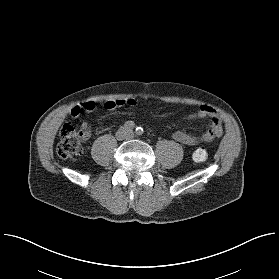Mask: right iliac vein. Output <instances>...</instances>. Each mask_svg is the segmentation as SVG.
<instances>
[{
  "mask_svg": "<svg viewBox=\"0 0 279 279\" xmlns=\"http://www.w3.org/2000/svg\"><path fill=\"white\" fill-rule=\"evenodd\" d=\"M120 132L123 133V132H124V129H121Z\"/></svg>",
  "mask_w": 279,
  "mask_h": 279,
  "instance_id": "1",
  "label": "right iliac vein"
}]
</instances>
